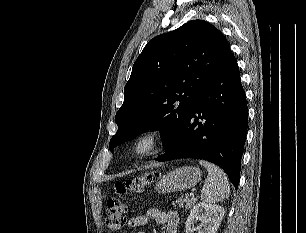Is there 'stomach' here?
Masks as SVG:
<instances>
[{
	"label": "stomach",
	"mask_w": 306,
	"mask_h": 233,
	"mask_svg": "<svg viewBox=\"0 0 306 233\" xmlns=\"http://www.w3.org/2000/svg\"><path fill=\"white\" fill-rule=\"evenodd\" d=\"M201 179L199 168L183 166L165 174L156 184V191L170 193L192 188Z\"/></svg>",
	"instance_id": "stomach-1"
}]
</instances>
